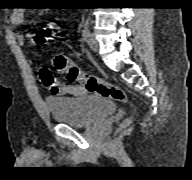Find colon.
Returning a JSON list of instances; mask_svg holds the SVG:
<instances>
[{"label": "colon", "mask_w": 192, "mask_h": 180, "mask_svg": "<svg viewBox=\"0 0 192 180\" xmlns=\"http://www.w3.org/2000/svg\"><path fill=\"white\" fill-rule=\"evenodd\" d=\"M61 37L62 34L56 27L52 24H47L34 34L33 39L38 45H44L50 41L58 40ZM53 62L55 69L64 76L69 84L81 85L89 94H96L121 102L128 100L125 91L120 87L85 73L67 56L62 54L56 55ZM129 123L130 121H127L125 124L128 125Z\"/></svg>", "instance_id": "obj_1"}]
</instances>
